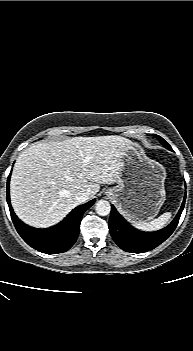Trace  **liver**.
<instances>
[{
	"label": "liver",
	"instance_id": "liver-1",
	"mask_svg": "<svg viewBox=\"0 0 193 351\" xmlns=\"http://www.w3.org/2000/svg\"><path fill=\"white\" fill-rule=\"evenodd\" d=\"M129 142L120 136H97L31 145L17 158L11 176L15 213L35 227L58 223L79 205L80 191H88L90 199L100 184L118 181Z\"/></svg>",
	"mask_w": 193,
	"mask_h": 351
}]
</instances>
